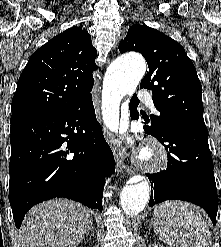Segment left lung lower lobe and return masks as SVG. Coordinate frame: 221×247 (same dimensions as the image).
<instances>
[{"label": "left lung lower lobe", "mask_w": 221, "mask_h": 247, "mask_svg": "<svg viewBox=\"0 0 221 247\" xmlns=\"http://www.w3.org/2000/svg\"><path fill=\"white\" fill-rule=\"evenodd\" d=\"M135 94L130 101V116L138 120ZM145 121L149 123V120ZM147 133L163 143L168 154V166L159 173L147 174L154 186L149 206L166 200H183L202 207L216 225L218 197L213 172V161L208 145V130L205 127H186L172 124L163 129L145 125Z\"/></svg>", "instance_id": "left-lung-lower-lobe-1"}]
</instances>
